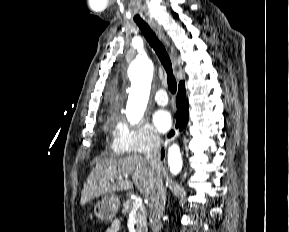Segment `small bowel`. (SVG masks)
I'll return each instance as SVG.
<instances>
[{"label": "small bowel", "instance_id": "1", "mask_svg": "<svg viewBox=\"0 0 289 232\" xmlns=\"http://www.w3.org/2000/svg\"><path fill=\"white\" fill-rule=\"evenodd\" d=\"M120 224L118 221H113L111 225L105 230V232H119Z\"/></svg>", "mask_w": 289, "mask_h": 232}]
</instances>
